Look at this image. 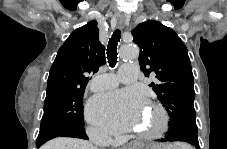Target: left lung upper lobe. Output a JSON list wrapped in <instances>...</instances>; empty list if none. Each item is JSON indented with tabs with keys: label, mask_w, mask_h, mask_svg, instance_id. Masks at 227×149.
Returning a JSON list of instances; mask_svg holds the SVG:
<instances>
[{
	"label": "left lung upper lobe",
	"mask_w": 227,
	"mask_h": 149,
	"mask_svg": "<svg viewBox=\"0 0 227 149\" xmlns=\"http://www.w3.org/2000/svg\"><path fill=\"white\" fill-rule=\"evenodd\" d=\"M140 48L139 64L145 76L155 74L153 88L170 115L169 124H195V92L188 51L176 32L155 20L132 30Z\"/></svg>",
	"instance_id": "1"
}]
</instances>
